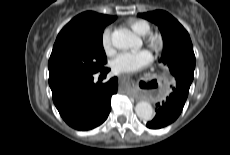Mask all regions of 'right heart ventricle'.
I'll return each mask as SVG.
<instances>
[{
  "instance_id": "right-heart-ventricle-1",
  "label": "right heart ventricle",
  "mask_w": 230,
  "mask_h": 155,
  "mask_svg": "<svg viewBox=\"0 0 230 155\" xmlns=\"http://www.w3.org/2000/svg\"><path fill=\"white\" fill-rule=\"evenodd\" d=\"M130 26L137 34L142 36L147 35L151 30L150 24L141 19L132 20L130 22Z\"/></svg>"
}]
</instances>
